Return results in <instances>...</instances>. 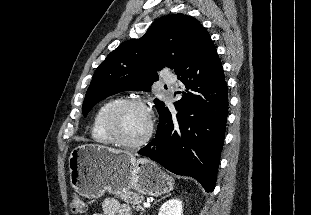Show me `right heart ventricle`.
<instances>
[{
    "label": "right heart ventricle",
    "mask_w": 311,
    "mask_h": 215,
    "mask_svg": "<svg viewBox=\"0 0 311 215\" xmlns=\"http://www.w3.org/2000/svg\"><path fill=\"white\" fill-rule=\"evenodd\" d=\"M120 100L121 99L118 97L108 99L100 104L96 109L91 125V135L95 142L104 145H110L114 143L113 139L110 137L106 130L105 119L111 107Z\"/></svg>",
    "instance_id": "e07e8e85"
}]
</instances>
